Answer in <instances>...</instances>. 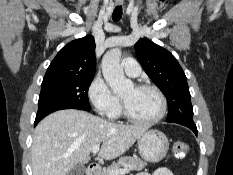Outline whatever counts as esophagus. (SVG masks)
Listing matches in <instances>:
<instances>
[{"mask_svg":"<svg viewBox=\"0 0 233 175\" xmlns=\"http://www.w3.org/2000/svg\"><path fill=\"white\" fill-rule=\"evenodd\" d=\"M123 2L122 1H117L116 4L117 5H121Z\"/></svg>","mask_w":233,"mask_h":175,"instance_id":"obj_1","label":"esophagus"}]
</instances>
